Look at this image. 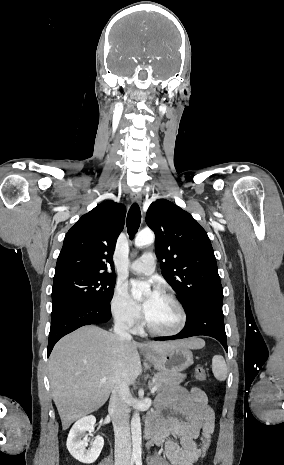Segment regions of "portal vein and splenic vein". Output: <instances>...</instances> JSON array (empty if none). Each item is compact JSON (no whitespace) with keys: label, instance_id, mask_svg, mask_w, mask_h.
Returning <instances> with one entry per match:
<instances>
[{"label":"portal vein and splenic vein","instance_id":"18ae733b","mask_svg":"<svg viewBox=\"0 0 284 465\" xmlns=\"http://www.w3.org/2000/svg\"><path fill=\"white\" fill-rule=\"evenodd\" d=\"M106 381H107L106 377H103V379H100V383H106ZM155 391H157V387H153L150 393H155Z\"/></svg>","mask_w":284,"mask_h":465}]
</instances>
